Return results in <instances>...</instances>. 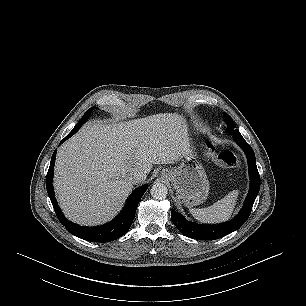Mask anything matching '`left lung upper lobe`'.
<instances>
[{"label": "left lung upper lobe", "mask_w": 306, "mask_h": 306, "mask_svg": "<svg viewBox=\"0 0 306 306\" xmlns=\"http://www.w3.org/2000/svg\"><path fill=\"white\" fill-rule=\"evenodd\" d=\"M224 116H225V122L228 125L226 131L228 133H232L234 137H242L240 132L236 129V125L234 121L232 120V118L228 114H225Z\"/></svg>", "instance_id": "obj_1"}]
</instances>
